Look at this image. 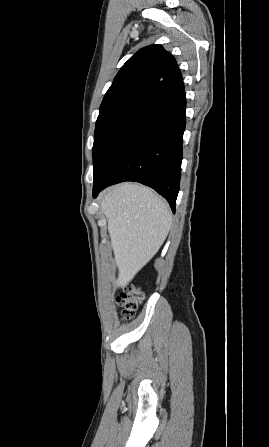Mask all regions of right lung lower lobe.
Here are the masks:
<instances>
[{
	"label": "right lung lower lobe",
	"mask_w": 269,
	"mask_h": 447,
	"mask_svg": "<svg viewBox=\"0 0 269 447\" xmlns=\"http://www.w3.org/2000/svg\"><path fill=\"white\" fill-rule=\"evenodd\" d=\"M185 110L180 81L126 116L93 162V196L109 185L136 181L155 189L175 212Z\"/></svg>",
	"instance_id": "right-lung-lower-lobe-1"
}]
</instances>
